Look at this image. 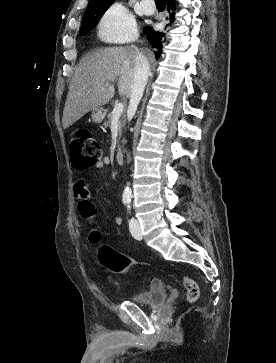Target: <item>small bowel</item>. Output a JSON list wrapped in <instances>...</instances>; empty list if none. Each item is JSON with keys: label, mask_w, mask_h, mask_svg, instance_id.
<instances>
[{"label": "small bowel", "mask_w": 276, "mask_h": 363, "mask_svg": "<svg viewBox=\"0 0 276 363\" xmlns=\"http://www.w3.org/2000/svg\"><path fill=\"white\" fill-rule=\"evenodd\" d=\"M109 163V158L105 157L94 165L95 170H100L107 166ZM74 196L78 200V211L80 215L87 220H91L96 216V208L90 200V188L88 183L80 179L76 181L74 185ZM116 225H122V218L116 216L114 218Z\"/></svg>", "instance_id": "small-bowel-1"}]
</instances>
